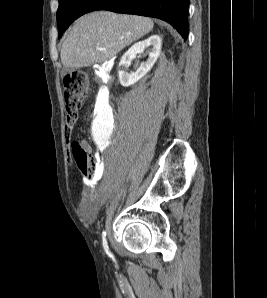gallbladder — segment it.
Wrapping results in <instances>:
<instances>
[{
	"mask_svg": "<svg viewBox=\"0 0 267 298\" xmlns=\"http://www.w3.org/2000/svg\"><path fill=\"white\" fill-rule=\"evenodd\" d=\"M71 71V68H68V67H65L64 69H63V73L64 74H67V73H69Z\"/></svg>",
	"mask_w": 267,
	"mask_h": 298,
	"instance_id": "gallbladder-1",
	"label": "gallbladder"
}]
</instances>
